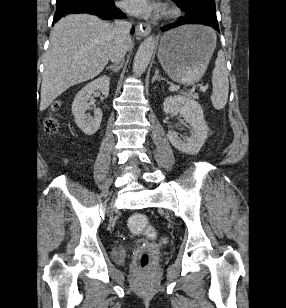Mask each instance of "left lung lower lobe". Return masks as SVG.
<instances>
[{"label": "left lung lower lobe", "instance_id": "0a47b994", "mask_svg": "<svg viewBox=\"0 0 286 308\" xmlns=\"http://www.w3.org/2000/svg\"><path fill=\"white\" fill-rule=\"evenodd\" d=\"M181 10L185 11V17L178 21L161 27V31H167L184 24H203L216 29L218 32V21L214 0H173Z\"/></svg>", "mask_w": 286, "mask_h": 308}]
</instances>
